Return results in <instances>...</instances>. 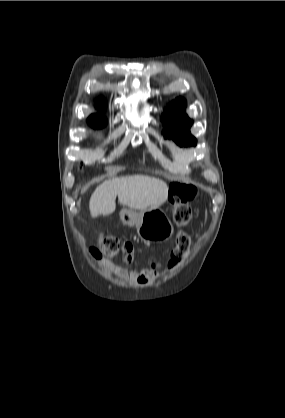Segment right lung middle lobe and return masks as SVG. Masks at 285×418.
Returning a JSON list of instances; mask_svg holds the SVG:
<instances>
[{"mask_svg":"<svg viewBox=\"0 0 285 418\" xmlns=\"http://www.w3.org/2000/svg\"><path fill=\"white\" fill-rule=\"evenodd\" d=\"M90 123V122H89ZM90 125L92 126V127H94V128H99V127H102L103 125H101V124H97V123H90Z\"/></svg>","mask_w":285,"mask_h":418,"instance_id":"dd1d6c3e","label":"right lung middle lobe"}]
</instances>
